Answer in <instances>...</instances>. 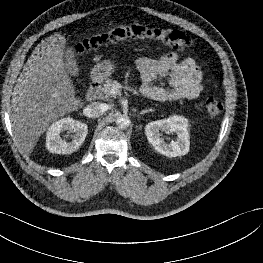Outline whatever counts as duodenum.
Segmentation results:
<instances>
[{
	"label": "duodenum",
	"mask_w": 263,
	"mask_h": 263,
	"mask_svg": "<svg viewBox=\"0 0 263 263\" xmlns=\"http://www.w3.org/2000/svg\"><path fill=\"white\" fill-rule=\"evenodd\" d=\"M100 83L98 81H92L87 89L86 98L88 100H94L99 93Z\"/></svg>",
	"instance_id": "410a0bca"
}]
</instances>
